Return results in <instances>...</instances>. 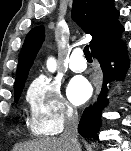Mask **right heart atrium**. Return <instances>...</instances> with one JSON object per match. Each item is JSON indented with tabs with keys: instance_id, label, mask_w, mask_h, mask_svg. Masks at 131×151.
Returning <instances> with one entry per match:
<instances>
[{
	"instance_id": "obj_1",
	"label": "right heart atrium",
	"mask_w": 131,
	"mask_h": 151,
	"mask_svg": "<svg viewBox=\"0 0 131 151\" xmlns=\"http://www.w3.org/2000/svg\"><path fill=\"white\" fill-rule=\"evenodd\" d=\"M26 98L31 127L38 135H56L75 117V109L64 98L60 84L49 77L39 76L34 79Z\"/></svg>"
}]
</instances>
